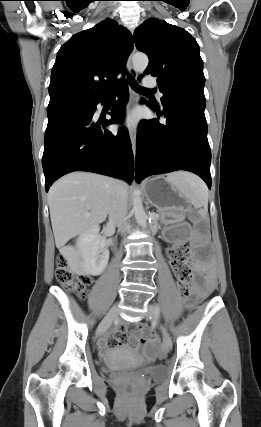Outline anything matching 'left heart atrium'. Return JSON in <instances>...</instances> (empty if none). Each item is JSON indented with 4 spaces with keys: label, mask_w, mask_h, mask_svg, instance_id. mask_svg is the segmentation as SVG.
<instances>
[{
    "label": "left heart atrium",
    "mask_w": 261,
    "mask_h": 427,
    "mask_svg": "<svg viewBox=\"0 0 261 427\" xmlns=\"http://www.w3.org/2000/svg\"><path fill=\"white\" fill-rule=\"evenodd\" d=\"M139 115L136 111L128 113L120 122V127L135 131L138 127Z\"/></svg>",
    "instance_id": "39dd6f15"
}]
</instances>
